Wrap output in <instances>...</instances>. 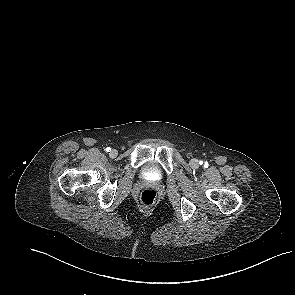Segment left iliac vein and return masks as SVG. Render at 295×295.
Here are the masks:
<instances>
[{
  "label": "left iliac vein",
  "mask_w": 295,
  "mask_h": 295,
  "mask_svg": "<svg viewBox=\"0 0 295 295\" xmlns=\"http://www.w3.org/2000/svg\"><path fill=\"white\" fill-rule=\"evenodd\" d=\"M190 166L192 168H198L199 167V161L196 158H193L190 160Z\"/></svg>",
  "instance_id": "left-iliac-vein-1"
}]
</instances>
